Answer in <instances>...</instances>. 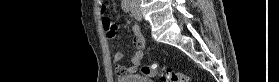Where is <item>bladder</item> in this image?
Returning a JSON list of instances; mask_svg holds the SVG:
<instances>
[{
	"mask_svg": "<svg viewBox=\"0 0 279 82\" xmlns=\"http://www.w3.org/2000/svg\"><path fill=\"white\" fill-rule=\"evenodd\" d=\"M117 82H153L143 74H128L117 78Z\"/></svg>",
	"mask_w": 279,
	"mask_h": 82,
	"instance_id": "1",
	"label": "bladder"
}]
</instances>
